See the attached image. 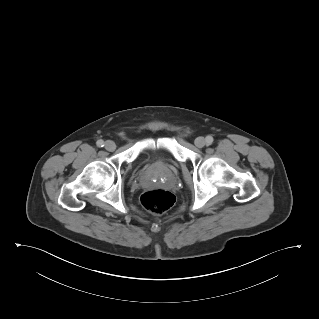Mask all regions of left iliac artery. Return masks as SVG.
<instances>
[{"instance_id": "obj_1", "label": "left iliac artery", "mask_w": 319, "mask_h": 319, "mask_svg": "<svg viewBox=\"0 0 319 319\" xmlns=\"http://www.w3.org/2000/svg\"><path fill=\"white\" fill-rule=\"evenodd\" d=\"M212 142H213V137H212V136H207V137H206V143H207L208 145H210V144H212Z\"/></svg>"}]
</instances>
